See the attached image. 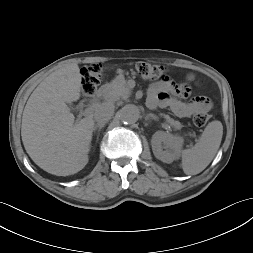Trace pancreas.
<instances>
[{
  "mask_svg": "<svg viewBox=\"0 0 253 253\" xmlns=\"http://www.w3.org/2000/svg\"><path fill=\"white\" fill-rule=\"evenodd\" d=\"M130 94L131 90L127 86L126 81L124 79H115L111 83L105 85L104 98L108 101L115 102L120 99H125L129 97ZM160 115L165 118L167 124L174 127L175 129L182 128V124L179 121L170 118L169 115Z\"/></svg>",
  "mask_w": 253,
  "mask_h": 253,
  "instance_id": "pancreas-1",
  "label": "pancreas"
}]
</instances>
